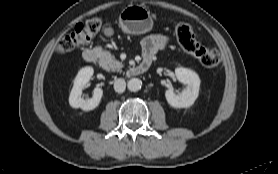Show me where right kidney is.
Here are the masks:
<instances>
[{
	"mask_svg": "<svg viewBox=\"0 0 278 174\" xmlns=\"http://www.w3.org/2000/svg\"><path fill=\"white\" fill-rule=\"evenodd\" d=\"M93 73L94 70L92 67H84L78 72L74 80V86L69 96V104L71 107L81 108L84 111H90L99 105L103 95V90L101 88L94 89L92 98L84 99L81 97L82 90L89 82Z\"/></svg>",
	"mask_w": 278,
	"mask_h": 174,
	"instance_id": "right-kidney-1",
	"label": "right kidney"
}]
</instances>
